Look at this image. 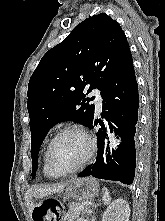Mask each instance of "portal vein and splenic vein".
I'll return each instance as SVG.
<instances>
[{
    "mask_svg": "<svg viewBox=\"0 0 165 221\" xmlns=\"http://www.w3.org/2000/svg\"><path fill=\"white\" fill-rule=\"evenodd\" d=\"M76 209H77L78 211H82V210H84V206H83V205H78V206L76 207Z\"/></svg>",
    "mask_w": 165,
    "mask_h": 221,
    "instance_id": "portal-vein-and-splenic-vein-1",
    "label": "portal vein and splenic vein"
}]
</instances>
